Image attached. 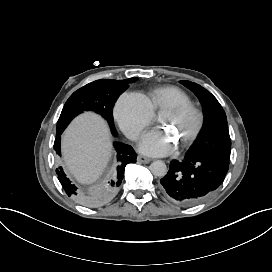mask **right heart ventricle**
<instances>
[{
  "label": "right heart ventricle",
  "mask_w": 272,
  "mask_h": 272,
  "mask_svg": "<svg viewBox=\"0 0 272 272\" xmlns=\"http://www.w3.org/2000/svg\"><path fill=\"white\" fill-rule=\"evenodd\" d=\"M148 101L155 110H166L168 106L174 103H190L186 94L175 87H164L154 90L148 95Z\"/></svg>",
  "instance_id": "right-heart-ventricle-1"
}]
</instances>
